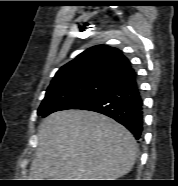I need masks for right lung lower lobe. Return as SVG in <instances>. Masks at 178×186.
I'll return each mask as SVG.
<instances>
[{
  "instance_id": "right-lung-lower-lobe-1",
  "label": "right lung lower lobe",
  "mask_w": 178,
  "mask_h": 186,
  "mask_svg": "<svg viewBox=\"0 0 178 186\" xmlns=\"http://www.w3.org/2000/svg\"><path fill=\"white\" fill-rule=\"evenodd\" d=\"M77 109L111 117L124 125L136 139L142 137L144 105L136 73L113 82Z\"/></svg>"
}]
</instances>
